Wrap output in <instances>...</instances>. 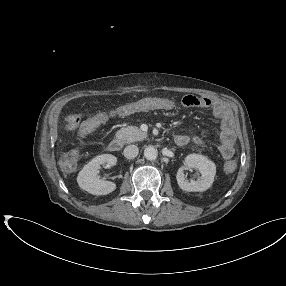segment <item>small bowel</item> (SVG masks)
<instances>
[{
	"label": "small bowel",
	"instance_id": "obj_1",
	"mask_svg": "<svg viewBox=\"0 0 286 286\" xmlns=\"http://www.w3.org/2000/svg\"><path fill=\"white\" fill-rule=\"evenodd\" d=\"M181 105L183 107H198V108L212 110L213 114L221 120L222 130H221V144L219 146V150L225 159L231 158L234 154L236 136L234 132L233 120L230 116L227 107L222 103L210 99L209 97L193 96V95H188L183 97L181 100ZM175 108H176V103L171 99L145 98L135 103L118 107L110 112L98 113L84 120L82 123L80 120L78 123H76L73 120L71 114L65 118V123H66V128L69 130L76 129L77 127H79L80 124L81 128L89 127L90 128L89 133H90L91 131L95 130L96 128L107 122L110 118L115 116L129 115L131 113L144 110L168 111V110H173ZM192 140L196 144L202 143V139L198 136L193 137ZM174 141L175 143L178 141H182V144L178 146H184L190 141V137L185 134H178L174 137ZM94 143L95 142L89 140L78 141V144L81 147H86Z\"/></svg>",
	"mask_w": 286,
	"mask_h": 286
}]
</instances>
